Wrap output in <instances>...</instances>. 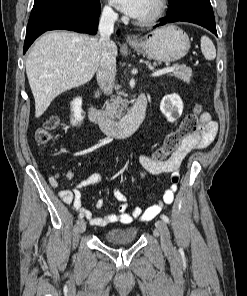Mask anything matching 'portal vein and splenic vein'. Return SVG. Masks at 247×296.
<instances>
[{
  "label": "portal vein and splenic vein",
  "mask_w": 247,
  "mask_h": 296,
  "mask_svg": "<svg viewBox=\"0 0 247 296\" xmlns=\"http://www.w3.org/2000/svg\"><path fill=\"white\" fill-rule=\"evenodd\" d=\"M174 70H175L174 66L166 67V68H163V69L153 72L151 76H153V77L161 76L163 74L173 72Z\"/></svg>",
  "instance_id": "1"
}]
</instances>
